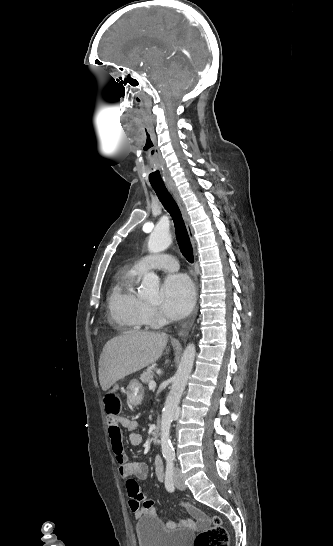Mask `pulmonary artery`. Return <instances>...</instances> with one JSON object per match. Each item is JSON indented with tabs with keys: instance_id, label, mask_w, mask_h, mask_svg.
<instances>
[{
	"instance_id": "pulmonary-artery-1",
	"label": "pulmonary artery",
	"mask_w": 333,
	"mask_h": 546,
	"mask_svg": "<svg viewBox=\"0 0 333 546\" xmlns=\"http://www.w3.org/2000/svg\"><path fill=\"white\" fill-rule=\"evenodd\" d=\"M178 267L177 260L168 254L147 255L137 260L134 264V268L141 273L151 269L176 271Z\"/></svg>"
}]
</instances>
